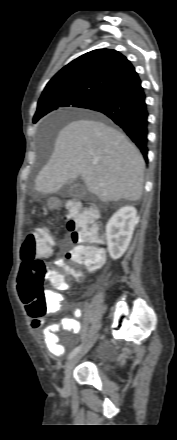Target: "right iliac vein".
Returning a JSON list of instances; mask_svg holds the SVG:
<instances>
[{"label":"right iliac vein","instance_id":"right-iliac-vein-1","mask_svg":"<svg viewBox=\"0 0 177 440\" xmlns=\"http://www.w3.org/2000/svg\"><path fill=\"white\" fill-rule=\"evenodd\" d=\"M98 336H96L92 341H90L88 343V345L86 347H84L77 355H75L74 357H72L68 363L65 366V371H64V379H63V386H64V390L68 391L70 389V384H71V374H72V370L75 367V365L77 364V362L79 361V359L85 355L90 348L93 346V344L95 343L96 339Z\"/></svg>","mask_w":177,"mask_h":440}]
</instances>
